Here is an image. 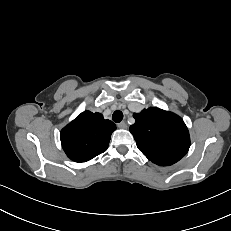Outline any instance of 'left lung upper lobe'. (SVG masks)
<instances>
[{
  "label": "left lung upper lobe",
  "mask_w": 231,
  "mask_h": 231,
  "mask_svg": "<svg viewBox=\"0 0 231 231\" xmlns=\"http://www.w3.org/2000/svg\"><path fill=\"white\" fill-rule=\"evenodd\" d=\"M130 126L138 149L153 163L170 166L188 152L190 137L181 117L156 107L134 113Z\"/></svg>",
  "instance_id": "obj_1"
}]
</instances>
